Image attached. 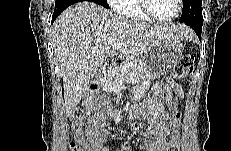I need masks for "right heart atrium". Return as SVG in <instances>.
Masks as SVG:
<instances>
[{"instance_id":"1","label":"right heart atrium","mask_w":231,"mask_h":151,"mask_svg":"<svg viewBox=\"0 0 231 151\" xmlns=\"http://www.w3.org/2000/svg\"><path fill=\"white\" fill-rule=\"evenodd\" d=\"M109 4L114 7L116 10H118L122 0H109Z\"/></svg>"}]
</instances>
